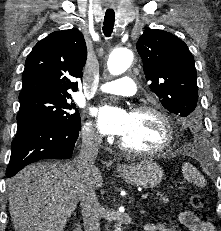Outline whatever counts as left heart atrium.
I'll list each match as a JSON object with an SVG mask.
<instances>
[{
    "instance_id": "obj_1",
    "label": "left heart atrium",
    "mask_w": 221,
    "mask_h": 231,
    "mask_svg": "<svg viewBox=\"0 0 221 231\" xmlns=\"http://www.w3.org/2000/svg\"><path fill=\"white\" fill-rule=\"evenodd\" d=\"M98 128L103 134L122 136L129 128L131 113L125 110L103 106L94 112Z\"/></svg>"
}]
</instances>
